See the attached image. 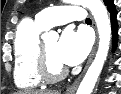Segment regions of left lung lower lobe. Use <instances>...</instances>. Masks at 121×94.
Instances as JSON below:
<instances>
[{"instance_id":"obj_1","label":"left lung lower lobe","mask_w":121,"mask_h":94,"mask_svg":"<svg viewBox=\"0 0 121 94\" xmlns=\"http://www.w3.org/2000/svg\"><path fill=\"white\" fill-rule=\"evenodd\" d=\"M107 6V10L110 13V18H111V25H112V35H113V49L116 48V43H117V31H118V25H117V12L115 9L114 2L109 3Z\"/></svg>"}]
</instances>
